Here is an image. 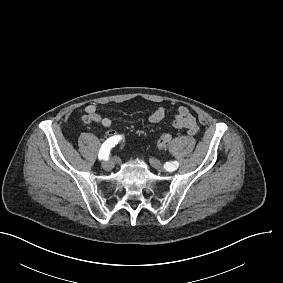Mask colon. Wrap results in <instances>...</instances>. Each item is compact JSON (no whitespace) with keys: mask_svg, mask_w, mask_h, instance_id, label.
Here are the masks:
<instances>
[{"mask_svg":"<svg viewBox=\"0 0 283 283\" xmlns=\"http://www.w3.org/2000/svg\"><path fill=\"white\" fill-rule=\"evenodd\" d=\"M171 138H172V136L169 132H165V133L161 134V136L157 140V146L159 148H165L170 143Z\"/></svg>","mask_w":283,"mask_h":283,"instance_id":"5ec220e1","label":"colon"}]
</instances>
